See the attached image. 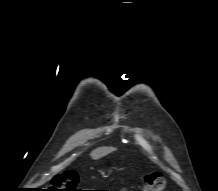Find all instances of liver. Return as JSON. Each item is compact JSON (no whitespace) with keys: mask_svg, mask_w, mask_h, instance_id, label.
<instances>
[{"mask_svg":"<svg viewBox=\"0 0 218 191\" xmlns=\"http://www.w3.org/2000/svg\"><path fill=\"white\" fill-rule=\"evenodd\" d=\"M114 150H115V148H112V147H101V148H97V149L93 150L90 155L93 159H99V158L111 153Z\"/></svg>","mask_w":218,"mask_h":191,"instance_id":"obj_1","label":"liver"}]
</instances>
